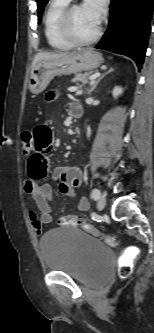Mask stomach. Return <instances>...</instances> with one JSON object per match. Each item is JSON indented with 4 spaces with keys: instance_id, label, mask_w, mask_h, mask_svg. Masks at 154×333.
I'll return each instance as SVG.
<instances>
[{
    "instance_id": "1",
    "label": "stomach",
    "mask_w": 154,
    "mask_h": 333,
    "mask_svg": "<svg viewBox=\"0 0 154 333\" xmlns=\"http://www.w3.org/2000/svg\"><path fill=\"white\" fill-rule=\"evenodd\" d=\"M102 63V55L92 49H85L61 59L40 61L31 69L29 89L34 94L41 93L55 76L91 71Z\"/></svg>"
}]
</instances>
